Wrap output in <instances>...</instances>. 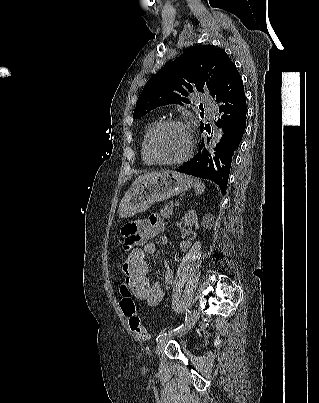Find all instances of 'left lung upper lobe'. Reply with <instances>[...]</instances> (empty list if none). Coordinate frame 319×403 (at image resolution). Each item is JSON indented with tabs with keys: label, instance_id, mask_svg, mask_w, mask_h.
<instances>
[{
	"label": "left lung upper lobe",
	"instance_id": "5c2ea615",
	"mask_svg": "<svg viewBox=\"0 0 319 403\" xmlns=\"http://www.w3.org/2000/svg\"><path fill=\"white\" fill-rule=\"evenodd\" d=\"M233 64L226 52L215 46L200 45L187 49L145 85L133 118H140L159 106L189 103L186 99L189 92L209 91L214 98Z\"/></svg>",
	"mask_w": 319,
	"mask_h": 403
}]
</instances>
